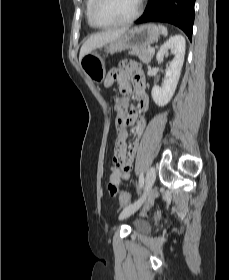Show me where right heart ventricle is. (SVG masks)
<instances>
[{
	"instance_id": "1",
	"label": "right heart ventricle",
	"mask_w": 229,
	"mask_h": 280,
	"mask_svg": "<svg viewBox=\"0 0 229 280\" xmlns=\"http://www.w3.org/2000/svg\"><path fill=\"white\" fill-rule=\"evenodd\" d=\"M93 4H94V0H86L85 16H86L88 25L92 28H97L93 25V23L91 21V9H92Z\"/></svg>"
}]
</instances>
